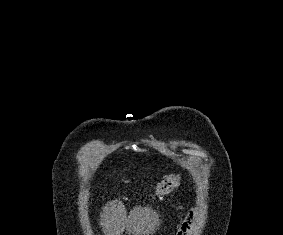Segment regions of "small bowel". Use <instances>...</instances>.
I'll return each mask as SVG.
<instances>
[{"mask_svg":"<svg viewBox=\"0 0 283 235\" xmlns=\"http://www.w3.org/2000/svg\"><path fill=\"white\" fill-rule=\"evenodd\" d=\"M195 216H196L195 212L192 211V212H191V215H190V219H189L188 222L185 224V227H188V226L191 224L190 220L192 221L193 218H195Z\"/></svg>","mask_w":283,"mask_h":235,"instance_id":"obj_1","label":"small bowel"}]
</instances>
